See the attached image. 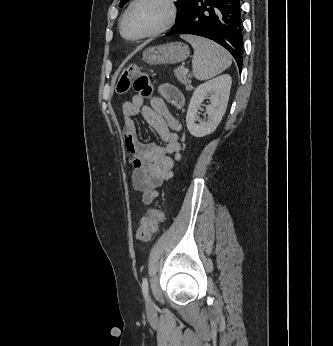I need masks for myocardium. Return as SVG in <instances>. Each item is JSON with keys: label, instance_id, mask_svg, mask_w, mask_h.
<instances>
[{"label": "myocardium", "instance_id": "obj_1", "mask_svg": "<svg viewBox=\"0 0 333 346\" xmlns=\"http://www.w3.org/2000/svg\"><path fill=\"white\" fill-rule=\"evenodd\" d=\"M140 1L142 0H133L130 5L127 7V9L125 10L121 21H120V33L122 35V37H124L125 39H129V40H139V39H145V38H150V37H155L158 36L162 33H164L165 31H167L168 29H170L173 24L176 21V17H177V5H176V0H161L167 7L168 9V16L166 21L164 22V24L162 26H160L158 29L139 35V36H135V37H129L125 34L124 32V23L126 21L127 16L129 15L130 11L134 8V6L136 4H138Z\"/></svg>", "mask_w": 333, "mask_h": 346}]
</instances>
